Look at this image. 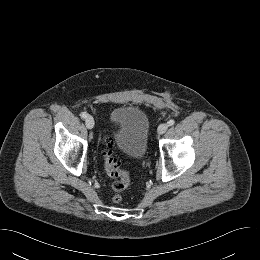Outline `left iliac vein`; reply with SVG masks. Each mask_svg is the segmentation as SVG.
Listing matches in <instances>:
<instances>
[{"label": "left iliac vein", "mask_w": 260, "mask_h": 260, "mask_svg": "<svg viewBox=\"0 0 260 260\" xmlns=\"http://www.w3.org/2000/svg\"><path fill=\"white\" fill-rule=\"evenodd\" d=\"M168 129V125L163 123V124H160L159 127H158V134H163L167 131Z\"/></svg>", "instance_id": "1"}]
</instances>
